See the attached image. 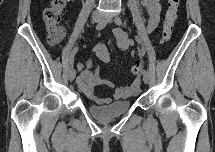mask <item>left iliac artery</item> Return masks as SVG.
Wrapping results in <instances>:
<instances>
[{"label":"left iliac artery","mask_w":215,"mask_h":152,"mask_svg":"<svg viewBox=\"0 0 215 152\" xmlns=\"http://www.w3.org/2000/svg\"><path fill=\"white\" fill-rule=\"evenodd\" d=\"M115 23H116L117 25H122V20H121V18H120V17H116V18H115ZM135 39H136V41H137L138 43L141 42V40H140L139 37L136 36ZM141 54H144V51H142ZM138 72H139V74H140L141 76H144V75H145L144 69H139Z\"/></svg>","instance_id":"left-iliac-artery-1"}]
</instances>
